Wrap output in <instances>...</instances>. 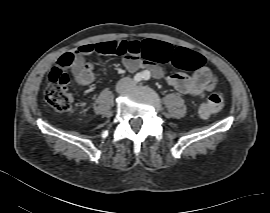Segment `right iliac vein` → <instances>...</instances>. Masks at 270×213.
Segmentation results:
<instances>
[{"label": "right iliac vein", "instance_id": "right-iliac-vein-1", "mask_svg": "<svg viewBox=\"0 0 270 213\" xmlns=\"http://www.w3.org/2000/svg\"><path fill=\"white\" fill-rule=\"evenodd\" d=\"M128 87V82L124 81L121 85L118 86L117 91L123 92Z\"/></svg>", "mask_w": 270, "mask_h": 213}]
</instances>
